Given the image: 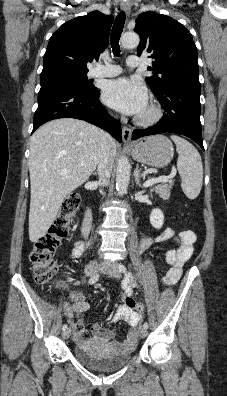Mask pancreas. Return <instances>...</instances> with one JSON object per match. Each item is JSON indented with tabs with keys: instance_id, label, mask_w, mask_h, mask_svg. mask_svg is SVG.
I'll list each match as a JSON object with an SVG mask.
<instances>
[{
	"instance_id": "pancreas-1",
	"label": "pancreas",
	"mask_w": 227,
	"mask_h": 396,
	"mask_svg": "<svg viewBox=\"0 0 227 396\" xmlns=\"http://www.w3.org/2000/svg\"><path fill=\"white\" fill-rule=\"evenodd\" d=\"M168 183H169V184L162 183V184H159V185H157V186H155V187L153 188V190H154L157 194H159V196H160L162 199H164V200H167V199H169V197H170L171 188H172V186H173V180H169Z\"/></svg>"
}]
</instances>
